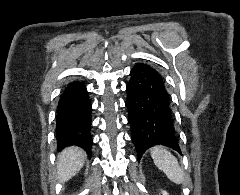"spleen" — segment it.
Returning a JSON list of instances; mask_svg holds the SVG:
<instances>
[{"label":"spleen","mask_w":240,"mask_h":195,"mask_svg":"<svg viewBox=\"0 0 240 195\" xmlns=\"http://www.w3.org/2000/svg\"><path fill=\"white\" fill-rule=\"evenodd\" d=\"M150 151L155 165L159 169H162L171 181H174V183H183L184 173L175 155L164 149L162 145H155V147H151Z\"/></svg>","instance_id":"3e777b00"}]
</instances>
